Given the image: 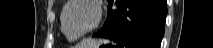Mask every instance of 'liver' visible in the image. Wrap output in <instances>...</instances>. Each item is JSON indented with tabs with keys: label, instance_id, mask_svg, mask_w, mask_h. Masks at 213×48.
Returning <instances> with one entry per match:
<instances>
[{
	"label": "liver",
	"instance_id": "liver-1",
	"mask_svg": "<svg viewBox=\"0 0 213 48\" xmlns=\"http://www.w3.org/2000/svg\"><path fill=\"white\" fill-rule=\"evenodd\" d=\"M96 42L95 41H92V40H85V41H82V43L80 44V48H87L93 44H95Z\"/></svg>",
	"mask_w": 213,
	"mask_h": 48
}]
</instances>
